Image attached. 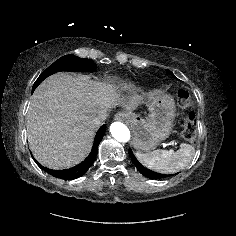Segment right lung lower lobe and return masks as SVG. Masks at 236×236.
I'll return each instance as SVG.
<instances>
[{"mask_svg": "<svg viewBox=\"0 0 236 236\" xmlns=\"http://www.w3.org/2000/svg\"><path fill=\"white\" fill-rule=\"evenodd\" d=\"M105 130H106L105 125L100 127V129L97 131V134L95 136L94 144H93L92 151H91L90 155L83 162H81L80 164H78L70 169L50 170L48 168L43 167L35 159H34V161L37 163V165L41 169H43L44 171H46L47 173H49L50 175H52L56 178H60L63 180H73V179L79 178L82 175H84L88 171L90 166L93 164V162L97 156L98 145L104 136Z\"/></svg>", "mask_w": 236, "mask_h": 236, "instance_id": "right-lung-lower-lobe-1", "label": "right lung lower lobe"}]
</instances>
